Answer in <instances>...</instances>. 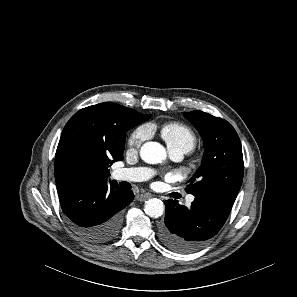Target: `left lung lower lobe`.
<instances>
[{
  "label": "left lung lower lobe",
  "instance_id": "0a47b994",
  "mask_svg": "<svg viewBox=\"0 0 297 297\" xmlns=\"http://www.w3.org/2000/svg\"><path fill=\"white\" fill-rule=\"evenodd\" d=\"M236 195L195 196L189 208L177 200L165 201L164 224L160 239L173 251L193 252L215 236L227 220Z\"/></svg>",
  "mask_w": 297,
  "mask_h": 297
}]
</instances>
